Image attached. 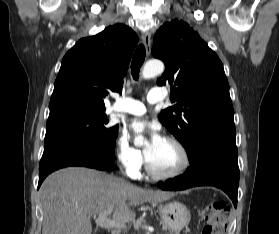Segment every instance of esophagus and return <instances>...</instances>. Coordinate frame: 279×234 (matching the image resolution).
Listing matches in <instances>:
<instances>
[{
  "label": "esophagus",
  "instance_id": "1",
  "mask_svg": "<svg viewBox=\"0 0 279 234\" xmlns=\"http://www.w3.org/2000/svg\"><path fill=\"white\" fill-rule=\"evenodd\" d=\"M142 42L145 46L147 54H149L151 49V35L149 32H145L142 34Z\"/></svg>",
  "mask_w": 279,
  "mask_h": 234
}]
</instances>
